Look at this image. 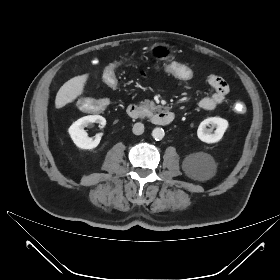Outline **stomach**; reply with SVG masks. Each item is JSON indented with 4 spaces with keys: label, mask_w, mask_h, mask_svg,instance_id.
Listing matches in <instances>:
<instances>
[{
    "label": "stomach",
    "mask_w": 280,
    "mask_h": 280,
    "mask_svg": "<svg viewBox=\"0 0 280 280\" xmlns=\"http://www.w3.org/2000/svg\"><path fill=\"white\" fill-rule=\"evenodd\" d=\"M151 51L160 60L170 59L174 54L172 47L166 43H155L151 47Z\"/></svg>",
    "instance_id": "obj_1"
}]
</instances>
